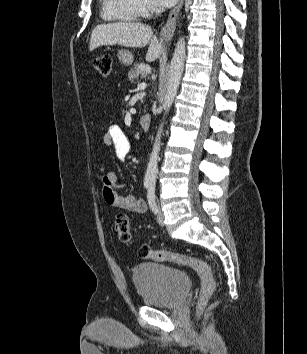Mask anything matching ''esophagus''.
<instances>
[{
	"label": "esophagus",
	"mask_w": 307,
	"mask_h": 354,
	"mask_svg": "<svg viewBox=\"0 0 307 354\" xmlns=\"http://www.w3.org/2000/svg\"><path fill=\"white\" fill-rule=\"evenodd\" d=\"M184 0H179L177 6L170 12L167 22L161 30L160 36L163 39H170L176 28V20L179 15L180 10L182 9Z\"/></svg>",
	"instance_id": "obj_1"
}]
</instances>
